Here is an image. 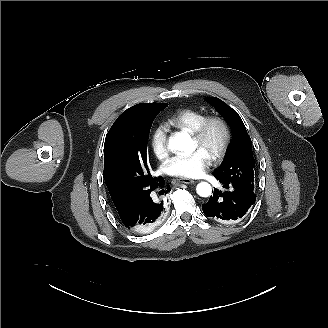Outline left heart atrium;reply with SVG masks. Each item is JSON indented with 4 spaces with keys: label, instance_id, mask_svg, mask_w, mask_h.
I'll list each match as a JSON object with an SVG mask.
<instances>
[{
    "label": "left heart atrium",
    "instance_id": "obj_1",
    "mask_svg": "<svg viewBox=\"0 0 328 328\" xmlns=\"http://www.w3.org/2000/svg\"><path fill=\"white\" fill-rule=\"evenodd\" d=\"M210 164V157L202 150L196 149L170 159L165 167L170 175L199 178L205 174Z\"/></svg>",
    "mask_w": 328,
    "mask_h": 328
}]
</instances>
